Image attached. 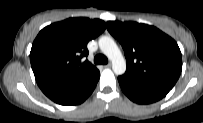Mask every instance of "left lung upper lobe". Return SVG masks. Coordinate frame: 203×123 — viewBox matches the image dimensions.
I'll return each instance as SVG.
<instances>
[{"label":"left lung upper lobe","instance_id":"left-lung-upper-lobe-1","mask_svg":"<svg viewBox=\"0 0 203 123\" xmlns=\"http://www.w3.org/2000/svg\"><path fill=\"white\" fill-rule=\"evenodd\" d=\"M107 29L122 45L127 69L124 76L172 89L182 71L177 43L154 26L108 21Z\"/></svg>","mask_w":203,"mask_h":123}]
</instances>
